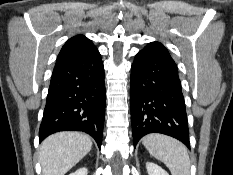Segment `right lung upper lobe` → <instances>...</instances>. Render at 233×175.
<instances>
[{"instance_id":"1","label":"right lung upper lobe","mask_w":233,"mask_h":175,"mask_svg":"<svg viewBox=\"0 0 233 175\" xmlns=\"http://www.w3.org/2000/svg\"><path fill=\"white\" fill-rule=\"evenodd\" d=\"M96 50L91 40L83 35H77L70 38L62 47L55 66L81 59L92 54Z\"/></svg>"}]
</instances>
